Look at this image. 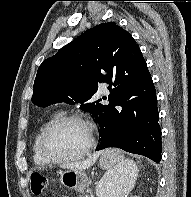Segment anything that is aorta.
I'll use <instances>...</instances> for the list:
<instances>
[{"mask_svg":"<svg viewBox=\"0 0 191 197\" xmlns=\"http://www.w3.org/2000/svg\"><path fill=\"white\" fill-rule=\"evenodd\" d=\"M100 187H101V189L103 190V192L106 190V182H105V180L103 179L102 180V182L100 183ZM100 197H102V195L100 196Z\"/></svg>","mask_w":191,"mask_h":197,"instance_id":"aorta-1","label":"aorta"}]
</instances>
